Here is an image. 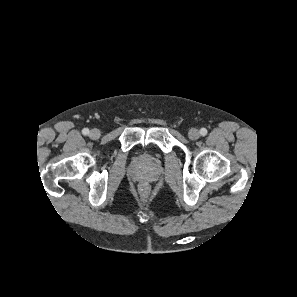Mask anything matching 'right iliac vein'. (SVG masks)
Listing matches in <instances>:
<instances>
[{"instance_id":"right-iliac-vein-1","label":"right iliac vein","mask_w":297,"mask_h":297,"mask_svg":"<svg viewBox=\"0 0 297 297\" xmlns=\"http://www.w3.org/2000/svg\"><path fill=\"white\" fill-rule=\"evenodd\" d=\"M101 133L100 130L98 129H92L89 133L90 138L92 139H98L100 137Z\"/></svg>"}]
</instances>
